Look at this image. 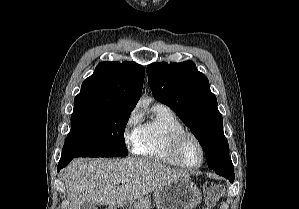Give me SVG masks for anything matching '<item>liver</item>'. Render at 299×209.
I'll return each mask as SVG.
<instances>
[{"label": "liver", "mask_w": 299, "mask_h": 209, "mask_svg": "<svg viewBox=\"0 0 299 209\" xmlns=\"http://www.w3.org/2000/svg\"><path fill=\"white\" fill-rule=\"evenodd\" d=\"M182 177L189 178L186 172L158 161L135 157L121 160L75 159L63 173L70 200L68 209H81L85 201L109 206L133 203ZM116 180H121V185H117Z\"/></svg>", "instance_id": "6515ba94"}]
</instances>
